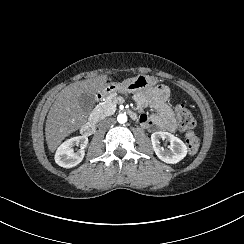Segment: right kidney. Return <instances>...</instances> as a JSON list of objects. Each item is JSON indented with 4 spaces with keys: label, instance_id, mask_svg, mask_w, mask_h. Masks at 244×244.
<instances>
[{
    "label": "right kidney",
    "instance_id": "right-kidney-1",
    "mask_svg": "<svg viewBox=\"0 0 244 244\" xmlns=\"http://www.w3.org/2000/svg\"><path fill=\"white\" fill-rule=\"evenodd\" d=\"M87 144L88 138L86 136H77L66 140L55 153L54 160L56 164L66 169L76 167L82 162L84 151L81 150L79 153H75V146L81 145V149H84Z\"/></svg>",
    "mask_w": 244,
    "mask_h": 244
}]
</instances>
